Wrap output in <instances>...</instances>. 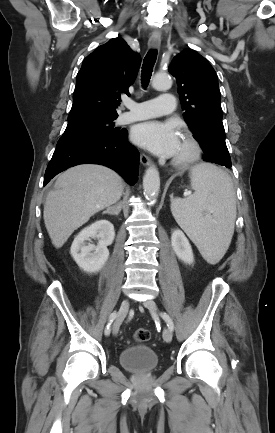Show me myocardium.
Masks as SVG:
<instances>
[{"label":"myocardium","instance_id":"myocardium-1","mask_svg":"<svg viewBox=\"0 0 275 433\" xmlns=\"http://www.w3.org/2000/svg\"><path fill=\"white\" fill-rule=\"evenodd\" d=\"M182 138L188 146V152L181 157H174L171 164L180 169L192 166L201 155V146L195 136L190 132H184Z\"/></svg>","mask_w":275,"mask_h":433}]
</instances>
